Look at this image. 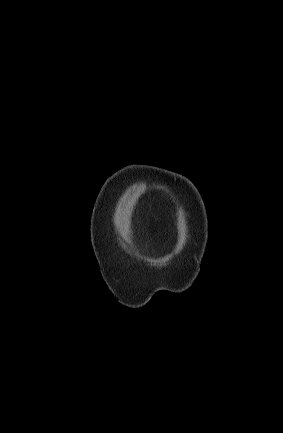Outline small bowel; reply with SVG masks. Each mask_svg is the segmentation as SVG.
Here are the masks:
<instances>
[{
    "mask_svg": "<svg viewBox=\"0 0 283 433\" xmlns=\"http://www.w3.org/2000/svg\"><path fill=\"white\" fill-rule=\"evenodd\" d=\"M146 253H152V254H158V252L155 249H147Z\"/></svg>",
    "mask_w": 283,
    "mask_h": 433,
    "instance_id": "1",
    "label": "small bowel"
}]
</instances>
